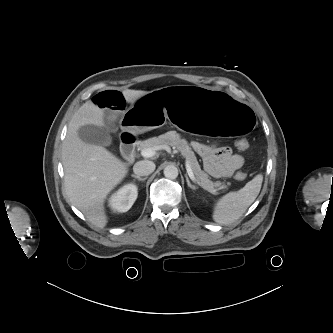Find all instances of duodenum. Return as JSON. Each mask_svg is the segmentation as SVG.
Returning a JSON list of instances; mask_svg holds the SVG:
<instances>
[{
	"mask_svg": "<svg viewBox=\"0 0 333 333\" xmlns=\"http://www.w3.org/2000/svg\"><path fill=\"white\" fill-rule=\"evenodd\" d=\"M137 143L138 139L134 134L124 132L121 135V151L124 158L129 162L134 160Z\"/></svg>",
	"mask_w": 333,
	"mask_h": 333,
	"instance_id": "410a0bca",
	"label": "duodenum"
}]
</instances>
